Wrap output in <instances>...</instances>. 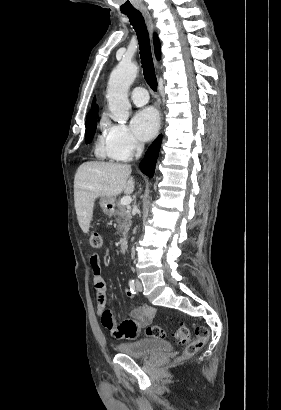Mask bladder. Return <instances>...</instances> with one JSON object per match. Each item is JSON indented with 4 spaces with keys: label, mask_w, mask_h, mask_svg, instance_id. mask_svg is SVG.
<instances>
[{
    "label": "bladder",
    "mask_w": 281,
    "mask_h": 410,
    "mask_svg": "<svg viewBox=\"0 0 281 410\" xmlns=\"http://www.w3.org/2000/svg\"><path fill=\"white\" fill-rule=\"evenodd\" d=\"M120 354L135 358H147L157 353L169 352L171 344L161 339L141 338L132 342L116 345Z\"/></svg>",
    "instance_id": "bladder-1"
}]
</instances>
